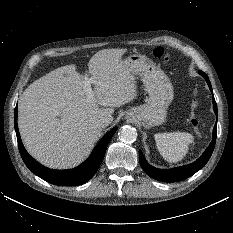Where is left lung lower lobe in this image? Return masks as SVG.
<instances>
[{
  "mask_svg": "<svg viewBox=\"0 0 233 233\" xmlns=\"http://www.w3.org/2000/svg\"><path fill=\"white\" fill-rule=\"evenodd\" d=\"M199 74L205 78V80H206V82H207V84L212 92V87H211V83L209 81L208 76L205 73H203L202 71H199ZM213 109H214L216 116H218L217 105H216L214 98H213ZM216 129H217V127L215 125L214 129H213V139H212L210 145L208 146V148L204 151V153L202 154V156L199 159H197L195 162H193L189 165H185V166H181V167H177V168H172V169H165V170L157 169V168H155L147 163L142 152L139 150L140 165L143 168V170L146 172V174H148L150 177H152L158 181L170 183V182H177V181H182L184 179H187L188 177L195 174L198 170H200L208 162V160H209V158L212 155V152L214 150V146H215Z\"/></svg>",
  "mask_w": 233,
  "mask_h": 233,
  "instance_id": "obj_1",
  "label": "left lung lower lobe"
}]
</instances>
